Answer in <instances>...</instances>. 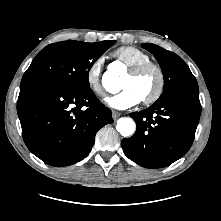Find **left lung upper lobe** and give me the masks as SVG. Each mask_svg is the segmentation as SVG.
Returning a JSON list of instances; mask_svg holds the SVG:
<instances>
[{"mask_svg":"<svg viewBox=\"0 0 221 221\" xmlns=\"http://www.w3.org/2000/svg\"><path fill=\"white\" fill-rule=\"evenodd\" d=\"M141 46L155 56L163 72L164 90L156 102L181 92L199 93L195 77L178 55L151 43Z\"/></svg>","mask_w":221,"mask_h":221,"instance_id":"5c2ea615","label":"left lung upper lobe"}]
</instances>
